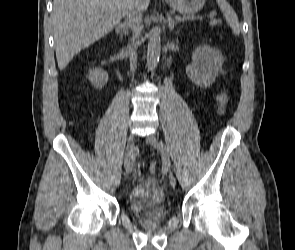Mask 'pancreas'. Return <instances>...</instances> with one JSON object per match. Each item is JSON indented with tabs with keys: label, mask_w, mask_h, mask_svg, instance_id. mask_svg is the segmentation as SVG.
<instances>
[{
	"label": "pancreas",
	"mask_w": 295,
	"mask_h": 250,
	"mask_svg": "<svg viewBox=\"0 0 295 250\" xmlns=\"http://www.w3.org/2000/svg\"><path fill=\"white\" fill-rule=\"evenodd\" d=\"M215 13H213V15H214ZM217 23V21L214 19V20H212V22H211V24H216Z\"/></svg>",
	"instance_id": "1"
}]
</instances>
